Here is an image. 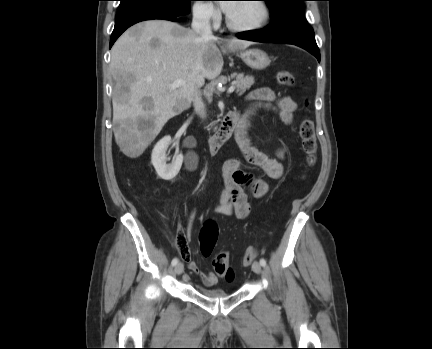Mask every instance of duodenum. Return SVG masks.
<instances>
[{
  "instance_id": "duodenum-1",
  "label": "duodenum",
  "mask_w": 432,
  "mask_h": 349,
  "mask_svg": "<svg viewBox=\"0 0 432 349\" xmlns=\"http://www.w3.org/2000/svg\"><path fill=\"white\" fill-rule=\"evenodd\" d=\"M241 121L236 113H227L222 119L220 129L208 142L211 154H217L235 133Z\"/></svg>"
}]
</instances>
